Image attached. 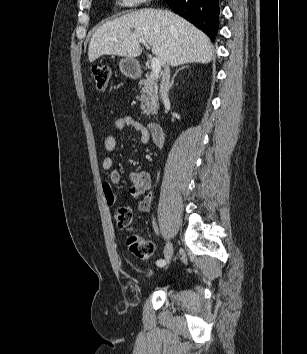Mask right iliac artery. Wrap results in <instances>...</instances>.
<instances>
[{
  "label": "right iliac artery",
  "instance_id": "82829eb1",
  "mask_svg": "<svg viewBox=\"0 0 307 354\" xmlns=\"http://www.w3.org/2000/svg\"><path fill=\"white\" fill-rule=\"evenodd\" d=\"M156 264H157V266L163 267L166 264V262H165V260L160 259V260H157Z\"/></svg>",
  "mask_w": 307,
  "mask_h": 354
}]
</instances>
